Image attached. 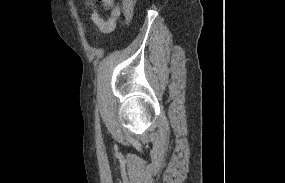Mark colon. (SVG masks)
I'll return each mask as SVG.
<instances>
[{
	"label": "colon",
	"mask_w": 285,
	"mask_h": 183,
	"mask_svg": "<svg viewBox=\"0 0 285 183\" xmlns=\"http://www.w3.org/2000/svg\"><path fill=\"white\" fill-rule=\"evenodd\" d=\"M125 23H129L134 14V0H120Z\"/></svg>",
	"instance_id": "1"
}]
</instances>
